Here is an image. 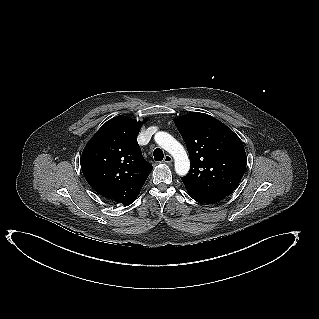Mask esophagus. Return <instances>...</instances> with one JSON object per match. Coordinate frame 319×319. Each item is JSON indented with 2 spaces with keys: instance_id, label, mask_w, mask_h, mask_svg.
<instances>
[{
  "instance_id": "obj_1",
  "label": "esophagus",
  "mask_w": 319,
  "mask_h": 319,
  "mask_svg": "<svg viewBox=\"0 0 319 319\" xmlns=\"http://www.w3.org/2000/svg\"><path fill=\"white\" fill-rule=\"evenodd\" d=\"M163 161H164L165 163L170 164V163L173 161V159H172V157H171L170 155H165Z\"/></svg>"
}]
</instances>
